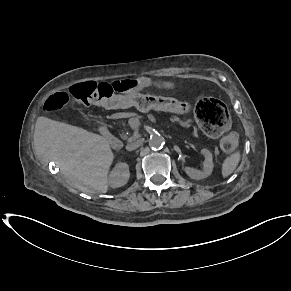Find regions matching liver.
<instances>
[{
    "instance_id": "obj_1",
    "label": "liver",
    "mask_w": 291,
    "mask_h": 291,
    "mask_svg": "<svg viewBox=\"0 0 291 291\" xmlns=\"http://www.w3.org/2000/svg\"><path fill=\"white\" fill-rule=\"evenodd\" d=\"M33 146L38 157L55 162L73 187L85 193L108 191V172L114 153L105 137L38 117Z\"/></svg>"
}]
</instances>
